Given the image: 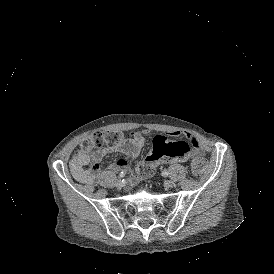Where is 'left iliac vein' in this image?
Listing matches in <instances>:
<instances>
[{
	"instance_id": "4c4485c4",
	"label": "left iliac vein",
	"mask_w": 274,
	"mask_h": 274,
	"mask_svg": "<svg viewBox=\"0 0 274 274\" xmlns=\"http://www.w3.org/2000/svg\"><path fill=\"white\" fill-rule=\"evenodd\" d=\"M167 187H173L175 185V181L174 180H168L165 182Z\"/></svg>"
}]
</instances>
